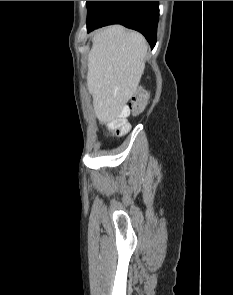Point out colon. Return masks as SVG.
Instances as JSON below:
<instances>
[{
	"mask_svg": "<svg viewBox=\"0 0 233 295\" xmlns=\"http://www.w3.org/2000/svg\"><path fill=\"white\" fill-rule=\"evenodd\" d=\"M148 100V95L143 89L137 90L130 102L129 105L124 107L118 117L111 121L108 124V128L117 136H121L126 133L128 129V125L125 121V117L129 114V112H132L133 114H138L140 113L144 107L146 106Z\"/></svg>",
	"mask_w": 233,
	"mask_h": 295,
	"instance_id": "colon-1",
	"label": "colon"
}]
</instances>
